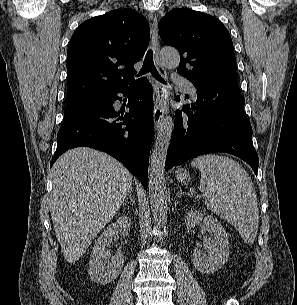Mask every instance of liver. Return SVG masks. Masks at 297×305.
Instances as JSON below:
<instances>
[{"label":"liver","mask_w":297,"mask_h":305,"mask_svg":"<svg viewBox=\"0 0 297 305\" xmlns=\"http://www.w3.org/2000/svg\"><path fill=\"white\" fill-rule=\"evenodd\" d=\"M50 212L64 258L74 263L112 219L131 190V173L111 156L80 147L52 167Z\"/></svg>","instance_id":"6515ba94"}]
</instances>
